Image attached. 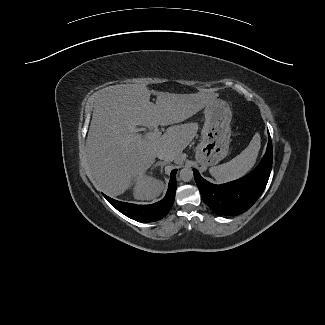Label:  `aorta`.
Segmentation results:
<instances>
[{
	"label": "aorta",
	"mask_w": 325,
	"mask_h": 325,
	"mask_svg": "<svg viewBox=\"0 0 325 325\" xmlns=\"http://www.w3.org/2000/svg\"><path fill=\"white\" fill-rule=\"evenodd\" d=\"M180 179L184 182H189L193 178V171L190 168H183L179 173Z\"/></svg>",
	"instance_id": "1"
}]
</instances>
